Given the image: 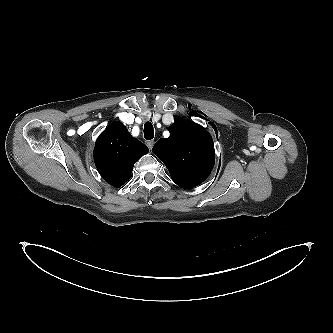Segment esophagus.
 Returning a JSON list of instances; mask_svg holds the SVG:
<instances>
[{
	"mask_svg": "<svg viewBox=\"0 0 333 333\" xmlns=\"http://www.w3.org/2000/svg\"><path fill=\"white\" fill-rule=\"evenodd\" d=\"M146 145L148 146V148L151 150L154 146V141L153 140H150L146 143Z\"/></svg>",
	"mask_w": 333,
	"mask_h": 333,
	"instance_id": "1",
	"label": "esophagus"
}]
</instances>
